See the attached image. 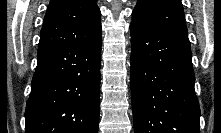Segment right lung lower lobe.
I'll use <instances>...</instances> for the list:
<instances>
[{
    "instance_id": "right-lung-lower-lobe-1",
    "label": "right lung lower lobe",
    "mask_w": 221,
    "mask_h": 133,
    "mask_svg": "<svg viewBox=\"0 0 221 133\" xmlns=\"http://www.w3.org/2000/svg\"><path fill=\"white\" fill-rule=\"evenodd\" d=\"M101 30L75 46L40 50L26 133H98Z\"/></svg>"
}]
</instances>
